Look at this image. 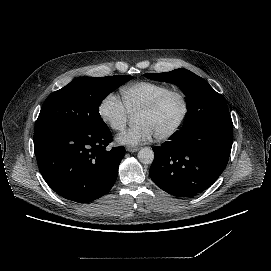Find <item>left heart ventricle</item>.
<instances>
[{
    "label": "left heart ventricle",
    "mask_w": 271,
    "mask_h": 271,
    "mask_svg": "<svg viewBox=\"0 0 271 271\" xmlns=\"http://www.w3.org/2000/svg\"><path fill=\"white\" fill-rule=\"evenodd\" d=\"M183 111L182 101L179 96L169 97L155 112L149 114H137L136 124H147L155 137L163 135L171 130L179 121Z\"/></svg>",
    "instance_id": "left-heart-ventricle-1"
}]
</instances>
